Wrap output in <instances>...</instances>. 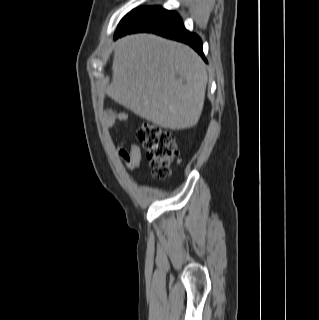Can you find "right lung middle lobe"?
<instances>
[{
	"mask_svg": "<svg viewBox=\"0 0 319 320\" xmlns=\"http://www.w3.org/2000/svg\"><path fill=\"white\" fill-rule=\"evenodd\" d=\"M162 11H164V9L158 6L134 9L121 20L118 30L135 27Z\"/></svg>",
	"mask_w": 319,
	"mask_h": 320,
	"instance_id": "right-lung-middle-lobe-1",
	"label": "right lung middle lobe"
}]
</instances>
